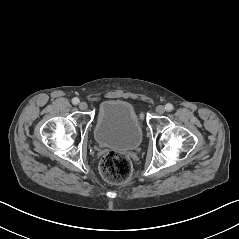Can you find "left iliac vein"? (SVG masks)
Instances as JSON below:
<instances>
[{
  "mask_svg": "<svg viewBox=\"0 0 239 239\" xmlns=\"http://www.w3.org/2000/svg\"><path fill=\"white\" fill-rule=\"evenodd\" d=\"M156 112H157L158 114H163V113L165 112V107L162 106V105H158V106L156 107Z\"/></svg>",
  "mask_w": 239,
  "mask_h": 239,
  "instance_id": "4c4485c4",
  "label": "left iliac vein"
}]
</instances>
